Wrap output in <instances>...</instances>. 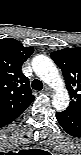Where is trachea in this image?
<instances>
[{
	"mask_svg": "<svg viewBox=\"0 0 81 155\" xmlns=\"http://www.w3.org/2000/svg\"><path fill=\"white\" fill-rule=\"evenodd\" d=\"M32 87H33L34 89L40 90V89L42 88V84H41L40 81L35 80V81L33 82V84H32Z\"/></svg>",
	"mask_w": 81,
	"mask_h": 155,
	"instance_id": "3493384b",
	"label": "trachea"
}]
</instances>
